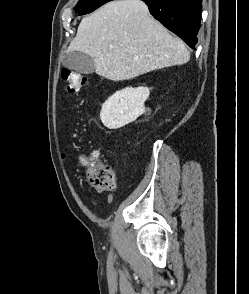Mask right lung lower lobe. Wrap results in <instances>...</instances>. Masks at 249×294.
I'll return each instance as SVG.
<instances>
[{"label":"right lung lower lobe","instance_id":"obj_1","mask_svg":"<svg viewBox=\"0 0 249 294\" xmlns=\"http://www.w3.org/2000/svg\"><path fill=\"white\" fill-rule=\"evenodd\" d=\"M155 19L194 49L201 21L202 0H142Z\"/></svg>","mask_w":249,"mask_h":294}]
</instances>
